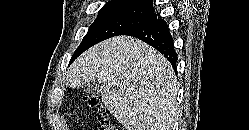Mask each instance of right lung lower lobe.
<instances>
[{"label": "right lung lower lobe", "instance_id": "98d812e1", "mask_svg": "<svg viewBox=\"0 0 249 130\" xmlns=\"http://www.w3.org/2000/svg\"><path fill=\"white\" fill-rule=\"evenodd\" d=\"M123 35L136 37L151 45L163 54L172 64L173 68L176 69L177 54L174 50L173 39L168 25L163 19H155Z\"/></svg>", "mask_w": 249, "mask_h": 130}]
</instances>
